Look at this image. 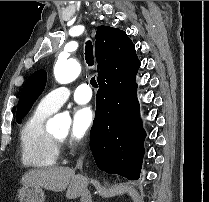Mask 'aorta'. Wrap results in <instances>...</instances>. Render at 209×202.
<instances>
[{"label":"aorta","instance_id":"762f6f07","mask_svg":"<svg viewBox=\"0 0 209 202\" xmlns=\"http://www.w3.org/2000/svg\"><path fill=\"white\" fill-rule=\"evenodd\" d=\"M80 64L75 59H67L59 56L54 66L55 80L60 84H66L74 81L80 74ZM71 119L67 114H57L48 120L46 128L49 131H68Z\"/></svg>","mask_w":209,"mask_h":202}]
</instances>
